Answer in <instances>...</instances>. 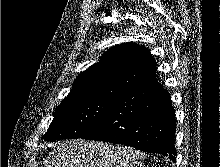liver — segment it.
Returning a JSON list of instances; mask_svg holds the SVG:
<instances>
[{
    "label": "liver",
    "instance_id": "liver-1",
    "mask_svg": "<svg viewBox=\"0 0 220 167\" xmlns=\"http://www.w3.org/2000/svg\"><path fill=\"white\" fill-rule=\"evenodd\" d=\"M143 153L124 146L82 139L57 142L45 167H141Z\"/></svg>",
    "mask_w": 220,
    "mask_h": 167
}]
</instances>
